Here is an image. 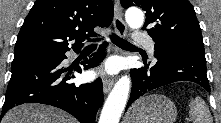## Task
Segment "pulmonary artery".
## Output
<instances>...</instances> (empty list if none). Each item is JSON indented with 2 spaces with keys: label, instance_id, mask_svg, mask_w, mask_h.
<instances>
[{
  "label": "pulmonary artery",
  "instance_id": "obj_1",
  "mask_svg": "<svg viewBox=\"0 0 221 123\" xmlns=\"http://www.w3.org/2000/svg\"><path fill=\"white\" fill-rule=\"evenodd\" d=\"M134 40L143 43L151 53L154 52V42L148 35L136 32L134 34Z\"/></svg>",
  "mask_w": 221,
  "mask_h": 123
}]
</instances>
